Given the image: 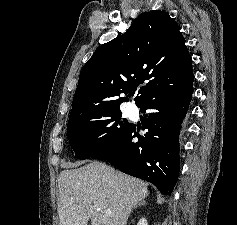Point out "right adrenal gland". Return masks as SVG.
I'll list each match as a JSON object with an SVG mask.
<instances>
[{
	"label": "right adrenal gland",
	"mask_w": 237,
	"mask_h": 225,
	"mask_svg": "<svg viewBox=\"0 0 237 225\" xmlns=\"http://www.w3.org/2000/svg\"><path fill=\"white\" fill-rule=\"evenodd\" d=\"M141 205H145V201L139 202L137 205L134 206V208H137V207H139V206H141Z\"/></svg>",
	"instance_id": "1"
}]
</instances>
